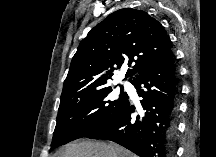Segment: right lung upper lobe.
<instances>
[{
    "instance_id": "obj_1",
    "label": "right lung upper lobe",
    "mask_w": 216,
    "mask_h": 157,
    "mask_svg": "<svg viewBox=\"0 0 216 157\" xmlns=\"http://www.w3.org/2000/svg\"><path fill=\"white\" fill-rule=\"evenodd\" d=\"M171 51L170 38L156 19L137 9L117 10L81 41L64 81L61 100L108 87L115 70L124 62L131 67L126 78H136Z\"/></svg>"
}]
</instances>
